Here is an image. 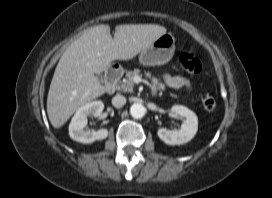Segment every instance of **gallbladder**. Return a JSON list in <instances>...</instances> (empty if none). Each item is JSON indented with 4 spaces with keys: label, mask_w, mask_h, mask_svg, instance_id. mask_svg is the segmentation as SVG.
<instances>
[{
    "label": "gallbladder",
    "mask_w": 272,
    "mask_h": 198,
    "mask_svg": "<svg viewBox=\"0 0 272 198\" xmlns=\"http://www.w3.org/2000/svg\"><path fill=\"white\" fill-rule=\"evenodd\" d=\"M98 78L101 79V75H98Z\"/></svg>",
    "instance_id": "gallbladder-1"
}]
</instances>
